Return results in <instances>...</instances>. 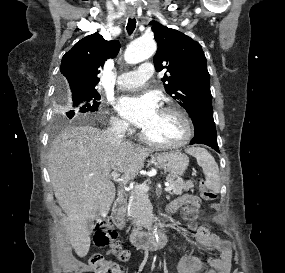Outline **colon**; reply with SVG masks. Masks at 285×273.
I'll use <instances>...</instances> for the list:
<instances>
[{
    "mask_svg": "<svg viewBox=\"0 0 285 273\" xmlns=\"http://www.w3.org/2000/svg\"><path fill=\"white\" fill-rule=\"evenodd\" d=\"M200 195L206 201H214L217 198L216 191L207 186L206 184H202L200 186ZM194 205L188 203L185 206V216L188 219V226L195 232H202V227H200V223H193L197 218V213L194 211ZM94 242L99 247H109L110 252L118 258L119 261L124 262L129 258L128 251L121 248L120 244L116 239L115 232L109 227H103L96 231L94 236ZM89 264L94 273H120L117 265L106 259L101 254H94L89 259Z\"/></svg>",
    "mask_w": 285,
    "mask_h": 273,
    "instance_id": "1",
    "label": "colon"
}]
</instances>
